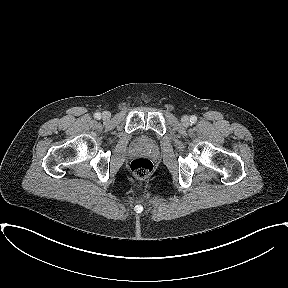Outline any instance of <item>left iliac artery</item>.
Listing matches in <instances>:
<instances>
[{"mask_svg": "<svg viewBox=\"0 0 288 288\" xmlns=\"http://www.w3.org/2000/svg\"><path fill=\"white\" fill-rule=\"evenodd\" d=\"M197 121V117L195 115L191 116L190 122L195 123Z\"/></svg>", "mask_w": 288, "mask_h": 288, "instance_id": "left-iliac-artery-1", "label": "left iliac artery"}]
</instances>
